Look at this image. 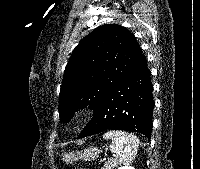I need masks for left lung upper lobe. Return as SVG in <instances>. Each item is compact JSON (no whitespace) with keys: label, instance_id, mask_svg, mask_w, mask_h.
<instances>
[{"label":"left lung upper lobe","instance_id":"obj_1","mask_svg":"<svg viewBox=\"0 0 200 169\" xmlns=\"http://www.w3.org/2000/svg\"><path fill=\"white\" fill-rule=\"evenodd\" d=\"M142 49L126 28L107 24L93 30L73 50L59 95V114L68 122L75 111L95 109L144 60Z\"/></svg>","mask_w":200,"mask_h":169}]
</instances>
